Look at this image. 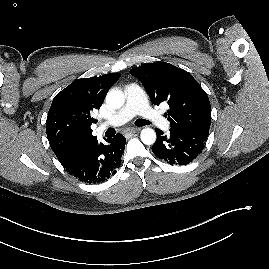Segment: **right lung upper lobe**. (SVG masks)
I'll use <instances>...</instances> for the list:
<instances>
[{"label": "right lung upper lobe", "mask_w": 269, "mask_h": 269, "mask_svg": "<svg viewBox=\"0 0 269 269\" xmlns=\"http://www.w3.org/2000/svg\"><path fill=\"white\" fill-rule=\"evenodd\" d=\"M120 78L118 73L82 78L60 91L52 101L46 120L49 144L60 163L97 138L91 124L107 90Z\"/></svg>", "instance_id": "obj_1"}]
</instances>
